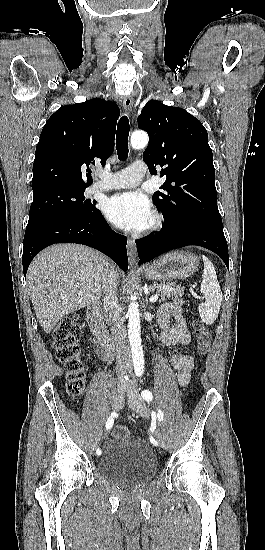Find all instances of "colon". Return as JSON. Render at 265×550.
<instances>
[{
	"mask_svg": "<svg viewBox=\"0 0 265 550\" xmlns=\"http://www.w3.org/2000/svg\"><path fill=\"white\" fill-rule=\"evenodd\" d=\"M193 329L197 354L203 356L209 350L211 334L206 326L198 320L193 323ZM79 334L80 326L77 314L62 318L52 333L53 348L57 359L65 365L68 380L67 390L74 399L82 394L85 385L84 365L77 344ZM112 436L115 439L124 440L131 437V432L127 427L118 426L113 430Z\"/></svg>",
	"mask_w": 265,
	"mask_h": 550,
	"instance_id": "5ec220e1",
	"label": "colon"
}]
</instances>
